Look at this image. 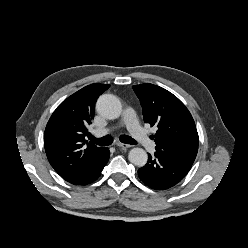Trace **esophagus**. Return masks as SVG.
I'll return each mask as SVG.
<instances>
[{"mask_svg":"<svg viewBox=\"0 0 248 248\" xmlns=\"http://www.w3.org/2000/svg\"><path fill=\"white\" fill-rule=\"evenodd\" d=\"M117 146H118L120 149H122V150L128 149V148L130 147V145L124 144V143H120V142L117 143Z\"/></svg>","mask_w":248,"mask_h":248,"instance_id":"obj_1","label":"esophagus"}]
</instances>
